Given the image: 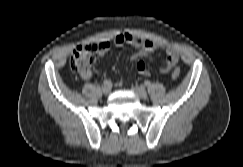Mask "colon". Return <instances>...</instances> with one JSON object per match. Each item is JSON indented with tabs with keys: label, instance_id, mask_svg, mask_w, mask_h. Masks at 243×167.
<instances>
[{
	"label": "colon",
	"instance_id": "colon-1",
	"mask_svg": "<svg viewBox=\"0 0 243 167\" xmlns=\"http://www.w3.org/2000/svg\"><path fill=\"white\" fill-rule=\"evenodd\" d=\"M98 50V45H81L74 49L71 58L70 66L72 71L81 76L86 77L91 73V67L95 62V53ZM180 76L178 68L172 71V78L177 79Z\"/></svg>",
	"mask_w": 243,
	"mask_h": 167
}]
</instances>
